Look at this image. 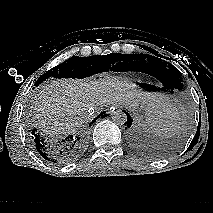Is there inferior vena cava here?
<instances>
[{
	"label": "inferior vena cava",
	"mask_w": 213,
	"mask_h": 213,
	"mask_svg": "<svg viewBox=\"0 0 213 213\" xmlns=\"http://www.w3.org/2000/svg\"><path fill=\"white\" fill-rule=\"evenodd\" d=\"M88 112H89L88 117H92L94 114V108H89Z\"/></svg>",
	"instance_id": "1"
}]
</instances>
